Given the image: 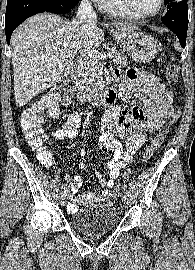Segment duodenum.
<instances>
[{"mask_svg": "<svg viewBox=\"0 0 195 270\" xmlns=\"http://www.w3.org/2000/svg\"><path fill=\"white\" fill-rule=\"evenodd\" d=\"M82 68L78 65L72 72L71 80L75 85L77 97L82 102L95 101L100 106L111 107L116 100L114 89L108 88L100 94H96L92 89L86 87L81 80Z\"/></svg>", "mask_w": 195, "mask_h": 270, "instance_id": "1", "label": "duodenum"}]
</instances>
